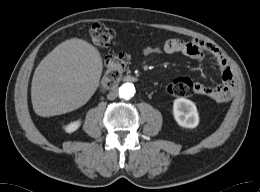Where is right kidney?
I'll list each match as a JSON object with an SVG mask.
<instances>
[{"label": "right kidney", "instance_id": "right-kidney-1", "mask_svg": "<svg viewBox=\"0 0 260 192\" xmlns=\"http://www.w3.org/2000/svg\"><path fill=\"white\" fill-rule=\"evenodd\" d=\"M80 125H81V120L71 122L70 124H68L65 127V131L67 133H72V132L76 131L80 127Z\"/></svg>", "mask_w": 260, "mask_h": 192}]
</instances>
